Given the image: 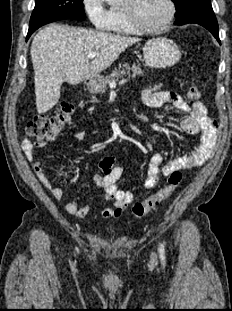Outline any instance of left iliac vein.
Listing matches in <instances>:
<instances>
[{"label": "left iliac vein", "instance_id": "1", "mask_svg": "<svg viewBox=\"0 0 232 311\" xmlns=\"http://www.w3.org/2000/svg\"><path fill=\"white\" fill-rule=\"evenodd\" d=\"M151 260L154 262L157 260V256L154 252L151 253Z\"/></svg>", "mask_w": 232, "mask_h": 311}]
</instances>
